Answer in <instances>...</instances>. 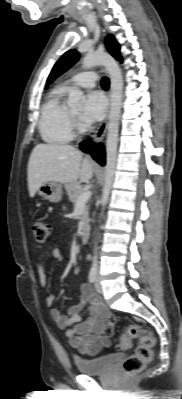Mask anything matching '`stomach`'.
Segmentation results:
<instances>
[{"mask_svg": "<svg viewBox=\"0 0 182 399\" xmlns=\"http://www.w3.org/2000/svg\"><path fill=\"white\" fill-rule=\"evenodd\" d=\"M37 193L50 202L56 203L62 199V186L58 182L47 181L38 187Z\"/></svg>", "mask_w": 182, "mask_h": 399, "instance_id": "1", "label": "stomach"}]
</instances>
